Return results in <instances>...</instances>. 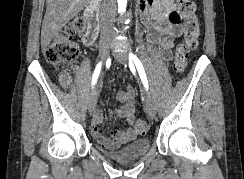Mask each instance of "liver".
<instances>
[{"mask_svg": "<svg viewBox=\"0 0 244 179\" xmlns=\"http://www.w3.org/2000/svg\"><path fill=\"white\" fill-rule=\"evenodd\" d=\"M46 12L41 30V50L46 52L52 38L77 16L89 0H46Z\"/></svg>", "mask_w": 244, "mask_h": 179, "instance_id": "1", "label": "liver"}]
</instances>
